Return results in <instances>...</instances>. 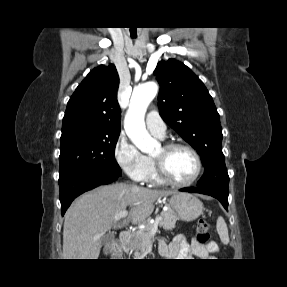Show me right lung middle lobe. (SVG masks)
I'll return each mask as SVG.
<instances>
[{
	"label": "right lung middle lobe",
	"instance_id": "obj_1",
	"mask_svg": "<svg viewBox=\"0 0 287 287\" xmlns=\"http://www.w3.org/2000/svg\"><path fill=\"white\" fill-rule=\"evenodd\" d=\"M119 134L120 130H102L85 124L62 130L59 177L80 170L121 175L114 155Z\"/></svg>",
	"mask_w": 287,
	"mask_h": 287
}]
</instances>
